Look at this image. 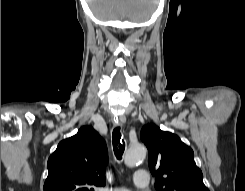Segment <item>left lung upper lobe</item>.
I'll list each match as a JSON object with an SVG mask.
<instances>
[{"label":"left lung upper lobe","instance_id":"1","mask_svg":"<svg viewBox=\"0 0 245 191\" xmlns=\"http://www.w3.org/2000/svg\"><path fill=\"white\" fill-rule=\"evenodd\" d=\"M140 138L148 148V165L156 177L157 191H209L194 161L192 148L177 135L147 124Z\"/></svg>","mask_w":245,"mask_h":191}]
</instances>
